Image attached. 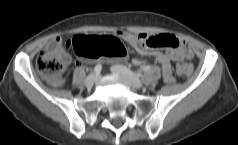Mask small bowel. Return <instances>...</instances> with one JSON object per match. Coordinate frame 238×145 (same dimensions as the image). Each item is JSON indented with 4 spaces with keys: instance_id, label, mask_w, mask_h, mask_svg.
Returning a JSON list of instances; mask_svg holds the SVG:
<instances>
[{
    "instance_id": "obj_1",
    "label": "small bowel",
    "mask_w": 238,
    "mask_h": 145,
    "mask_svg": "<svg viewBox=\"0 0 238 145\" xmlns=\"http://www.w3.org/2000/svg\"><path fill=\"white\" fill-rule=\"evenodd\" d=\"M115 34L131 45L140 55L149 56L157 60L162 66L163 78L167 83H173L175 80L172 63L192 57V52L187 42L174 35L160 34L149 36L146 33L132 34L123 30H117ZM157 48L172 49V51L163 52L155 50ZM47 51L63 61L66 66L71 63V57L64 49L60 38L52 39L47 45ZM92 60L96 59L93 58ZM132 63L136 66L143 64L139 59H134ZM77 64L81 65L82 62L78 61Z\"/></svg>"
}]
</instances>
